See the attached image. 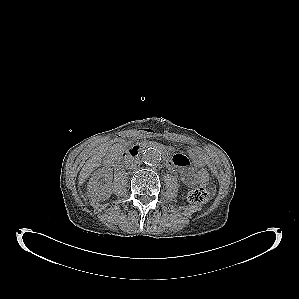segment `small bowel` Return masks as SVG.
I'll use <instances>...</instances> for the list:
<instances>
[{"label":"small bowel","mask_w":299,"mask_h":299,"mask_svg":"<svg viewBox=\"0 0 299 299\" xmlns=\"http://www.w3.org/2000/svg\"><path fill=\"white\" fill-rule=\"evenodd\" d=\"M189 165L188 158L182 154H176L171 159V167H176L179 169L183 182L186 185H193L196 181L194 178V173Z\"/></svg>","instance_id":"small-bowel-1"}]
</instances>
